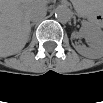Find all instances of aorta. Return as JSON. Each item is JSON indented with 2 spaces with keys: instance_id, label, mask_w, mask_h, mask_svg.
Masks as SVG:
<instances>
[{
  "instance_id": "obj_1",
  "label": "aorta",
  "mask_w": 103,
  "mask_h": 103,
  "mask_svg": "<svg viewBox=\"0 0 103 103\" xmlns=\"http://www.w3.org/2000/svg\"><path fill=\"white\" fill-rule=\"evenodd\" d=\"M56 19L61 23H66L71 18V10L69 7L60 5L54 10Z\"/></svg>"
}]
</instances>
